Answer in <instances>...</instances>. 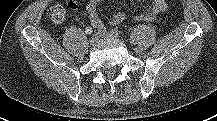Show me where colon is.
<instances>
[{"instance_id": "colon-1", "label": "colon", "mask_w": 217, "mask_h": 121, "mask_svg": "<svg viewBox=\"0 0 217 121\" xmlns=\"http://www.w3.org/2000/svg\"><path fill=\"white\" fill-rule=\"evenodd\" d=\"M67 16V9L63 4H55L48 10V18L54 24H61L65 21Z\"/></svg>"}]
</instances>
